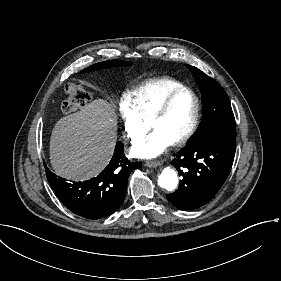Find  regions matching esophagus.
<instances>
[{"label": "esophagus", "mask_w": 281, "mask_h": 281, "mask_svg": "<svg viewBox=\"0 0 281 281\" xmlns=\"http://www.w3.org/2000/svg\"><path fill=\"white\" fill-rule=\"evenodd\" d=\"M161 162L160 161H153V162H148L147 166L150 168H157L159 166H161Z\"/></svg>", "instance_id": "34e87169"}]
</instances>
